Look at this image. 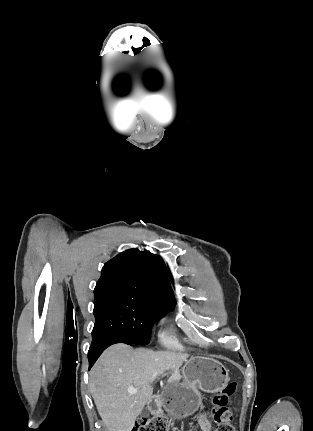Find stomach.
<instances>
[{"instance_id":"obj_1","label":"stomach","mask_w":313,"mask_h":431,"mask_svg":"<svg viewBox=\"0 0 313 431\" xmlns=\"http://www.w3.org/2000/svg\"><path fill=\"white\" fill-rule=\"evenodd\" d=\"M182 382L170 379L155 401L157 409L162 406L175 419L196 412L201 404L200 391L215 393L229 382V371L217 360L193 356L182 368Z\"/></svg>"}]
</instances>
